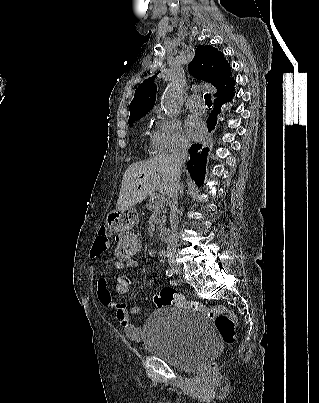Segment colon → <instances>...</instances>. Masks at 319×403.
<instances>
[{
	"instance_id": "5ec220e1",
	"label": "colon",
	"mask_w": 319,
	"mask_h": 403,
	"mask_svg": "<svg viewBox=\"0 0 319 403\" xmlns=\"http://www.w3.org/2000/svg\"><path fill=\"white\" fill-rule=\"evenodd\" d=\"M142 242V234H117L114 246L116 268H137L138 254H143ZM116 278L128 279L129 271L117 270ZM110 287L111 291H118L119 296L131 295V288L127 287L126 281L111 282ZM126 301H129V298H126ZM154 302L158 307L175 306L197 311L214 321L215 328L225 344L232 345L236 341V315L224 306L206 307L197 301L185 299L183 295L172 288L161 289L154 296ZM211 368H215L214 363Z\"/></svg>"
}]
</instances>
